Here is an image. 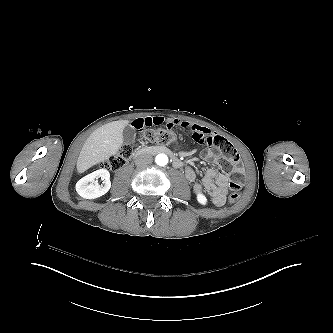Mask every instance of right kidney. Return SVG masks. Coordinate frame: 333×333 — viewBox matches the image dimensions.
Masks as SVG:
<instances>
[{"label":"right kidney","instance_id":"ca27d5eb","mask_svg":"<svg viewBox=\"0 0 333 333\" xmlns=\"http://www.w3.org/2000/svg\"><path fill=\"white\" fill-rule=\"evenodd\" d=\"M103 179V184H99L96 178ZM109 172L107 170H97L81 178L76 183V191L84 199H96L105 195L111 188V182L108 180ZM91 182V184H90Z\"/></svg>","mask_w":333,"mask_h":333}]
</instances>
